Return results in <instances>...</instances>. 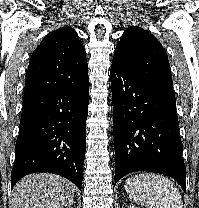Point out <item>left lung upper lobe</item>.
Masks as SVG:
<instances>
[{"mask_svg": "<svg viewBox=\"0 0 199 208\" xmlns=\"http://www.w3.org/2000/svg\"><path fill=\"white\" fill-rule=\"evenodd\" d=\"M112 62L143 79L173 89L165 49L153 35L142 28L129 27L124 31Z\"/></svg>", "mask_w": 199, "mask_h": 208, "instance_id": "5c2ea615", "label": "left lung upper lobe"}]
</instances>
